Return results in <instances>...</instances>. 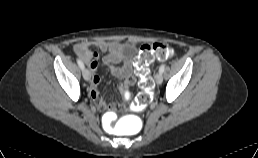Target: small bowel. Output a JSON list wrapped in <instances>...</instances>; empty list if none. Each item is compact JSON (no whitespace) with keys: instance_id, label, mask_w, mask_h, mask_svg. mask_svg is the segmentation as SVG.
Segmentation results:
<instances>
[{"instance_id":"obj_1","label":"small bowel","mask_w":258,"mask_h":158,"mask_svg":"<svg viewBox=\"0 0 258 158\" xmlns=\"http://www.w3.org/2000/svg\"><path fill=\"white\" fill-rule=\"evenodd\" d=\"M127 46V44L103 40L81 41L74 46L75 52L83 59L92 72L89 94L94 103L100 109H108L112 108V106L108 105L104 101L98 91V86L101 82V78L97 73L99 65L98 55L92 52L90 48L96 47L102 52L107 53L104 58V62L108 65L111 74L121 81L119 84V91L121 94L125 95L128 92L129 87L136 83V77L133 74L132 65L130 62H126L121 67H117L114 64L122 58L123 52Z\"/></svg>"}]
</instances>
